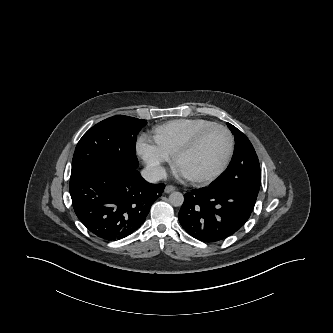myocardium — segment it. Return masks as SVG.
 Wrapping results in <instances>:
<instances>
[{
  "instance_id": "myocardium-1",
  "label": "myocardium",
  "mask_w": 333,
  "mask_h": 333,
  "mask_svg": "<svg viewBox=\"0 0 333 333\" xmlns=\"http://www.w3.org/2000/svg\"><path fill=\"white\" fill-rule=\"evenodd\" d=\"M215 129L222 130L228 138L227 155H226L223 163L220 165V167L217 170H215L213 173L208 174L206 176H185V178L192 183L208 184V183L214 181L215 179H217L219 176H221L225 172V170L228 168V166L232 160L233 154H234L235 142H234V137H233L231 131L222 124H213L211 126H208V127L204 128L203 130H201L200 132H198L190 141H188L185 145H183L181 148H179L173 155V162L177 166L178 161L182 156H184L187 153L194 150L199 145V143L202 141V139L208 133H210L212 130H215Z\"/></svg>"
}]
</instances>
